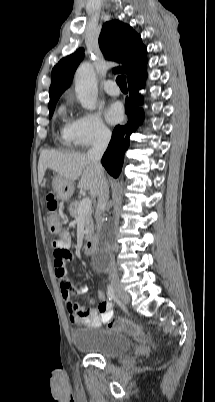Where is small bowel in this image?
<instances>
[{
  "instance_id": "c3829d8e",
  "label": "small bowel",
  "mask_w": 215,
  "mask_h": 402,
  "mask_svg": "<svg viewBox=\"0 0 215 402\" xmlns=\"http://www.w3.org/2000/svg\"><path fill=\"white\" fill-rule=\"evenodd\" d=\"M53 261L55 275L58 279L61 295L65 301L69 319L72 323L84 324L89 327H100L109 324L113 317L112 303L104 300L103 292H99V301L95 306H81L73 301V297H85L88 289L85 285L75 286L70 280L66 263L74 259L71 252V237L68 232H63L60 237L52 242ZM92 303L93 300L89 299Z\"/></svg>"
}]
</instances>
